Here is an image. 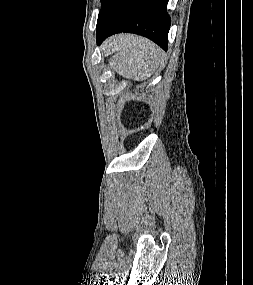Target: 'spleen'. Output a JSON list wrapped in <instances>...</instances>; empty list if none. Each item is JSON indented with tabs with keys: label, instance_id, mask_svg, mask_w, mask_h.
<instances>
[{
	"label": "spleen",
	"instance_id": "1",
	"mask_svg": "<svg viewBox=\"0 0 253 285\" xmlns=\"http://www.w3.org/2000/svg\"><path fill=\"white\" fill-rule=\"evenodd\" d=\"M117 53L109 65L126 79L143 81L166 62L162 50L148 39L122 34L113 38L109 46Z\"/></svg>",
	"mask_w": 253,
	"mask_h": 285
}]
</instances>
